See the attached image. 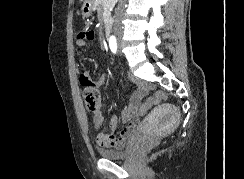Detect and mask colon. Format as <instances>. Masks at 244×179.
<instances>
[{
    "mask_svg": "<svg viewBox=\"0 0 244 179\" xmlns=\"http://www.w3.org/2000/svg\"><path fill=\"white\" fill-rule=\"evenodd\" d=\"M166 93H154V96H148L147 104H138V109H152L153 104H158L160 101H163V98H166ZM83 99L85 102L86 109L89 113L98 115L100 102H99V93L93 88H86L83 91ZM140 116H149V111H140Z\"/></svg>",
    "mask_w": 244,
    "mask_h": 179,
    "instance_id": "5ec220e1",
    "label": "colon"
}]
</instances>
